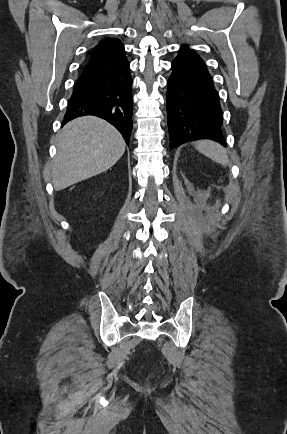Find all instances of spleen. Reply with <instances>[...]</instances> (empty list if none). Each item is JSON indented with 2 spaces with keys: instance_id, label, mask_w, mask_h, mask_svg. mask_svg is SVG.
Masks as SVG:
<instances>
[{
  "instance_id": "spleen-1",
  "label": "spleen",
  "mask_w": 287,
  "mask_h": 434,
  "mask_svg": "<svg viewBox=\"0 0 287 434\" xmlns=\"http://www.w3.org/2000/svg\"><path fill=\"white\" fill-rule=\"evenodd\" d=\"M195 148L213 161L226 166L229 163V157L226 149L220 144L210 141L201 140L196 142Z\"/></svg>"
}]
</instances>
